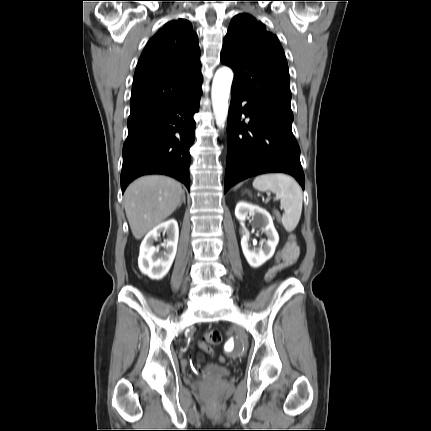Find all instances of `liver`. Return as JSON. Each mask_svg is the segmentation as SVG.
I'll list each match as a JSON object with an SVG mask.
<instances>
[{
	"mask_svg": "<svg viewBox=\"0 0 431 431\" xmlns=\"http://www.w3.org/2000/svg\"><path fill=\"white\" fill-rule=\"evenodd\" d=\"M181 184L161 175L140 177L124 193L125 213L133 236L139 240L168 218L179 206Z\"/></svg>",
	"mask_w": 431,
	"mask_h": 431,
	"instance_id": "1",
	"label": "liver"
}]
</instances>
